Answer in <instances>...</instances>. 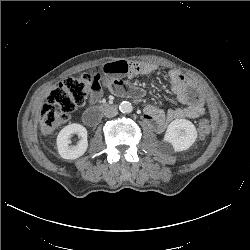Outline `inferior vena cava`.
Listing matches in <instances>:
<instances>
[{
  "label": "inferior vena cava",
  "mask_w": 250,
  "mask_h": 250,
  "mask_svg": "<svg viewBox=\"0 0 250 250\" xmlns=\"http://www.w3.org/2000/svg\"><path fill=\"white\" fill-rule=\"evenodd\" d=\"M118 114V110L114 106H108L104 110V115L108 118L114 117Z\"/></svg>",
  "instance_id": "inferior-vena-cava-1"
}]
</instances>
